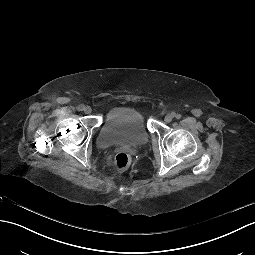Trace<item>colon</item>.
<instances>
[{"label":"colon","mask_w":255,"mask_h":255,"mask_svg":"<svg viewBox=\"0 0 255 255\" xmlns=\"http://www.w3.org/2000/svg\"><path fill=\"white\" fill-rule=\"evenodd\" d=\"M114 164L117 169L125 170L130 164V156L126 152H119L114 158Z\"/></svg>","instance_id":"colon-1"}]
</instances>
